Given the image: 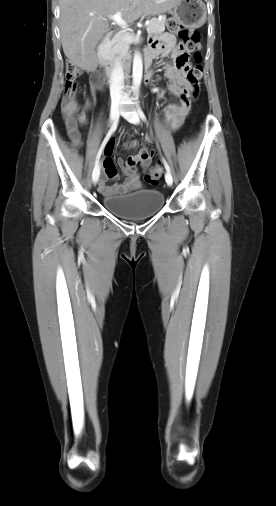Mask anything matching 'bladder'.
<instances>
[{
    "label": "bladder",
    "instance_id": "31cf9c89",
    "mask_svg": "<svg viewBox=\"0 0 276 506\" xmlns=\"http://www.w3.org/2000/svg\"><path fill=\"white\" fill-rule=\"evenodd\" d=\"M165 196L157 189H142L131 193L104 196L105 208L124 218L138 219L151 216L164 205Z\"/></svg>",
    "mask_w": 276,
    "mask_h": 506
}]
</instances>
